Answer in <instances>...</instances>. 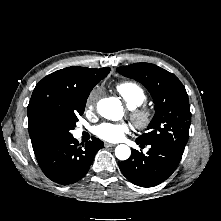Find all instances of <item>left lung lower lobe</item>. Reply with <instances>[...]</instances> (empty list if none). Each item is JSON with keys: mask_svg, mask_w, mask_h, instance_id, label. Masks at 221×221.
<instances>
[{"mask_svg": "<svg viewBox=\"0 0 221 221\" xmlns=\"http://www.w3.org/2000/svg\"><path fill=\"white\" fill-rule=\"evenodd\" d=\"M136 142L144 144L138 139ZM149 145L151 148L146 155L133 150L128 160L119 163L123 175L130 182L141 187H152L169 178L177 168L183 154L164 145Z\"/></svg>", "mask_w": 221, "mask_h": 221, "instance_id": "0a47b994", "label": "left lung lower lobe"}]
</instances>
